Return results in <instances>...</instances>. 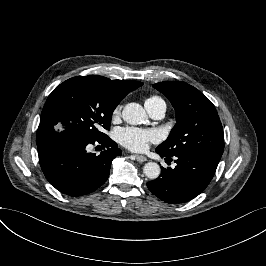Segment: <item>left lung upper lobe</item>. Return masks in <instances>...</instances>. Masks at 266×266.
Here are the masks:
<instances>
[{"instance_id":"5c2ea615","label":"left lung upper lobe","mask_w":266,"mask_h":266,"mask_svg":"<svg viewBox=\"0 0 266 266\" xmlns=\"http://www.w3.org/2000/svg\"><path fill=\"white\" fill-rule=\"evenodd\" d=\"M172 103L176 125L156 149L175 156L201 152L220 159L224 151L223 128L212 102L195 87L180 81L153 84Z\"/></svg>"}]
</instances>
